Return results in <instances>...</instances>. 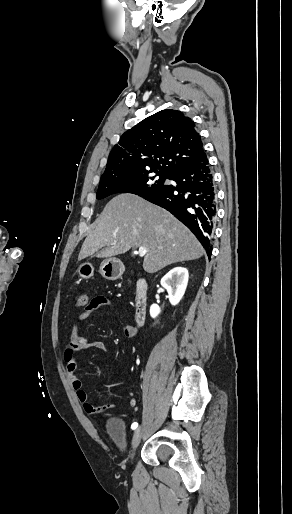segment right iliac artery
I'll list each match as a JSON object with an SVG mask.
<instances>
[{"instance_id": "82829eb1", "label": "right iliac artery", "mask_w": 292, "mask_h": 514, "mask_svg": "<svg viewBox=\"0 0 292 514\" xmlns=\"http://www.w3.org/2000/svg\"><path fill=\"white\" fill-rule=\"evenodd\" d=\"M137 427H138V423H137V422H134V423L131 425V429H132V430H135Z\"/></svg>"}]
</instances>
